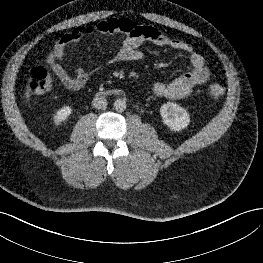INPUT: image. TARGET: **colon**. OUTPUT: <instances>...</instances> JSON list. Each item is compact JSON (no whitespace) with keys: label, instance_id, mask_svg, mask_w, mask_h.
I'll use <instances>...</instances> for the list:
<instances>
[{"label":"colon","instance_id":"colon-1","mask_svg":"<svg viewBox=\"0 0 263 263\" xmlns=\"http://www.w3.org/2000/svg\"><path fill=\"white\" fill-rule=\"evenodd\" d=\"M54 78L43 67L31 69L28 80V89L33 95H42L54 88ZM212 98H219L224 93V87L218 83H213L208 88Z\"/></svg>","mask_w":263,"mask_h":263}]
</instances>
